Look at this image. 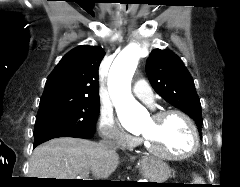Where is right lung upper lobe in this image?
Returning <instances> with one entry per match:
<instances>
[{
  "label": "right lung upper lobe",
  "mask_w": 240,
  "mask_h": 187,
  "mask_svg": "<svg viewBox=\"0 0 240 187\" xmlns=\"http://www.w3.org/2000/svg\"><path fill=\"white\" fill-rule=\"evenodd\" d=\"M105 52L82 45L68 52L47 78L40 105L99 101L98 69Z\"/></svg>",
  "instance_id": "cb5924a9"
}]
</instances>
